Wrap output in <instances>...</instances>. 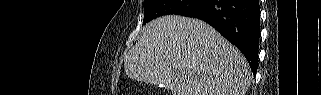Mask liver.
I'll return each mask as SVG.
<instances>
[{
    "instance_id": "6515ba94",
    "label": "liver",
    "mask_w": 321,
    "mask_h": 95,
    "mask_svg": "<svg viewBox=\"0 0 321 95\" xmlns=\"http://www.w3.org/2000/svg\"><path fill=\"white\" fill-rule=\"evenodd\" d=\"M132 80L172 95H245L252 74L244 55L207 23L168 15L148 23L125 54Z\"/></svg>"
}]
</instances>
